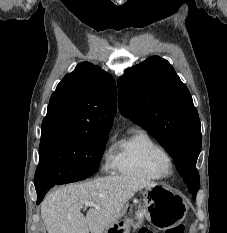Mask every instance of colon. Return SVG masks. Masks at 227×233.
<instances>
[{
  "mask_svg": "<svg viewBox=\"0 0 227 233\" xmlns=\"http://www.w3.org/2000/svg\"><path fill=\"white\" fill-rule=\"evenodd\" d=\"M138 233H158V232L150 227H144V228H141ZM164 233H184V227L177 226V227L166 230Z\"/></svg>",
  "mask_w": 227,
  "mask_h": 233,
  "instance_id": "colon-1",
  "label": "colon"
}]
</instances>
